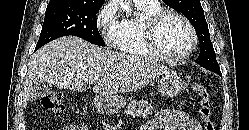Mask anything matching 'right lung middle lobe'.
Segmentation results:
<instances>
[{
	"label": "right lung middle lobe",
	"instance_id": "right-lung-middle-lobe-1",
	"mask_svg": "<svg viewBox=\"0 0 249 130\" xmlns=\"http://www.w3.org/2000/svg\"><path fill=\"white\" fill-rule=\"evenodd\" d=\"M101 6L102 4L84 5L70 2L48 5L36 50L56 38L67 35L105 46L97 29L96 14Z\"/></svg>",
	"mask_w": 249,
	"mask_h": 130
}]
</instances>
